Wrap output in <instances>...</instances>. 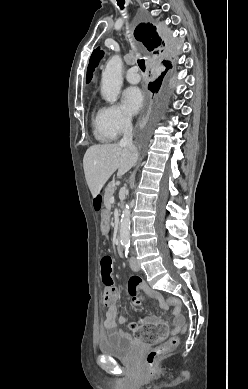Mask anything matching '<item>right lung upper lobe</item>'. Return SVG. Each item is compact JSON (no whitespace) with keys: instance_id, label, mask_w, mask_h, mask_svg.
Segmentation results:
<instances>
[{"instance_id":"cb5924a9","label":"right lung upper lobe","mask_w":248,"mask_h":389,"mask_svg":"<svg viewBox=\"0 0 248 389\" xmlns=\"http://www.w3.org/2000/svg\"><path fill=\"white\" fill-rule=\"evenodd\" d=\"M134 36L138 41H141L144 44L148 51H154V53L159 57L168 58L171 57L174 53V50L169 42L163 37V35L153 24H139L134 31ZM103 54V51H100L99 47L93 51L88 65L86 83H89L92 79V73L100 59L103 57ZM163 62L165 63L166 70L162 73L156 83L164 77L168 69L172 66L169 61L164 60Z\"/></svg>"}]
</instances>
